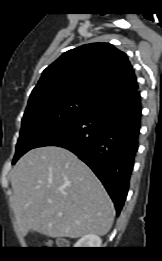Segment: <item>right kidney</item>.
<instances>
[{"label": "right kidney", "mask_w": 162, "mask_h": 261, "mask_svg": "<svg viewBox=\"0 0 162 261\" xmlns=\"http://www.w3.org/2000/svg\"><path fill=\"white\" fill-rule=\"evenodd\" d=\"M102 240L95 234H87L79 239L74 245L75 248H99Z\"/></svg>", "instance_id": "right-kidney-1"}]
</instances>
